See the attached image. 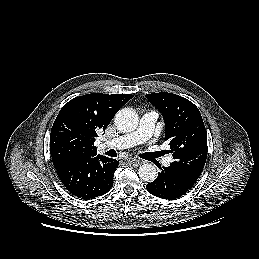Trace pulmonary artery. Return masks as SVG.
I'll list each match as a JSON object with an SVG mask.
<instances>
[{
	"instance_id": "1",
	"label": "pulmonary artery",
	"mask_w": 259,
	"mask_h": 259,
	"mask_svg": "<svg viewBox=\"0 0 259 259\" xmlns=\"http://www.w3.org/2000/svg\"><path fill=\"white\" fill-rule=\"evenodd\" d=\"M157 118L158 114L154 111L144 113L141 117L139 127L135 131L107 140L106 144L115 149H125L147 141L152 134ZM171 162V157L163 161L165 166H169Z\"/></svg>"
}]
</instances>
